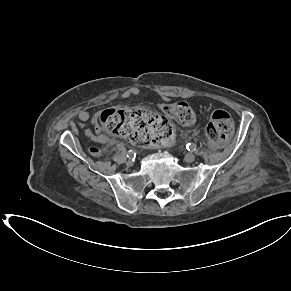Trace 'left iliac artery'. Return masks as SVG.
<instances>
[{
    "label": "left iliac artery",
    "instance_id": "left-iliac-artery-1",
    "mask_svg": "<svg viewBox=\"0 0 291 291\" xmlns=\"http://www.w3.org/2000/svg\"><path fill=\"white\" fill-rule=\"evenodd\" d=\"M186 148L189 150V151H194L196 150V145L194 143H188L186 145Z\"/></svg>",
    "mask_w": 291,
    "mask_h": 291
}]
</instances>
